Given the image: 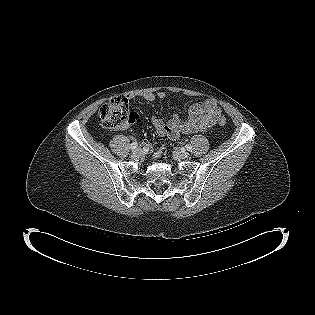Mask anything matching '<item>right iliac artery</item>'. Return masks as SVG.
<instances>
[{
  "mask_svg": "<svg viewBox=\"0 0 315 315\" xmlns=\"http://www.w3.org/2000/svg\"><path fill=\"white\" fill-rule=\"evenodd\" d=\"M138 146V143L137 142H133L131 145H130V148L132 150L136 149V147Z\"/></svg>",
  "mask_w": 315,
  "mask_h": 315,
  "instance_id": "right-iliac-artery-1",
  "label": "right iliac artery"
}]
</instances>
